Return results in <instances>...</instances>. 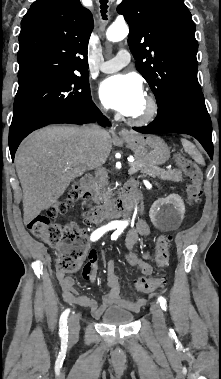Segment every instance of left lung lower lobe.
<instances>
[{
  "instance_id": "1",
  "label": "left lung lower lobe",
  "mask_w": 221,
  "mask_h": 379,
  "mask_svg": "<svg viewBox=\"0 0 221 379\" xmlns=\"http://www.w3.org/2000/svg\"><path fill=\"white\" fill-rule=\"evenodd\" d=\"M133 129L143 134L171 132L191 135L213 158L212 124L206 106L167 100L158 106V114L153 122Z\"/></svg>"
}]
</instances>
